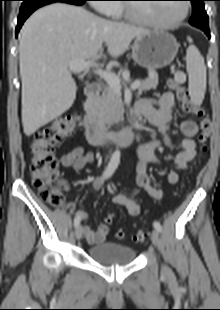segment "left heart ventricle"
<instances>
[{
    "mask_svg": "<svg viewBox=\"0 0 220 310\" xmlns=\"http://www.w3.org/2000/svg\"><path fill=\"white\" fill-rule=\"evenodd\" d=\"M137 15L160 22H169L177 18L183 10V3H158L135 5Z\"/></svg>",
    "mask_w": 220,
    "mask_h": 310,
    "instance_id": "b2bd125f",
    "label": "left heart ventricle"
}]
</instances>
